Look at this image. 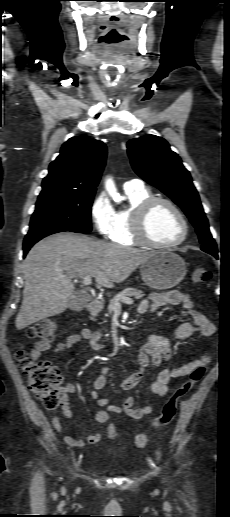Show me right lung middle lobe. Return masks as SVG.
<instances>
[{"mask_svg":"<svg viewBox=\"0 0 230 517\" xmlns=\"http://www.w3.org/2000/svg\"><path fill=\"white\" fill-rule=\"evenodd\" d=\"M94 194L71 193L38 197L28 234L56 228L91 231V207Z\"/></svg>","mask_w":230,"mask_h":517,"instance_id":"obj_1","label":"right lung middle lobe"}]
</instances>
